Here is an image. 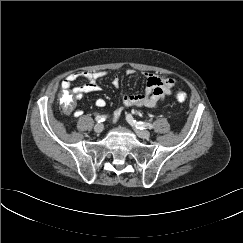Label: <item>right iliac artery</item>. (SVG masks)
Segmentation results:
<instances>
[{
  "instance_id": "1",
  "label": "right iliac artery",
  "mask_w": 243,
  "mask_h": 243,
  "mask_svg": "<svg viewBox=\"0 0 243 243\" xmlns=\"http://www.w3.org/2000/svg\"><path fill=\"white\" fill-rule=\"evenodd\" d=\"M105 119H106V116H105V115H102V116L98 115V116H96V118H95V120H96L98 123L105 121Z\"/></svg>"
}]
</instances>
